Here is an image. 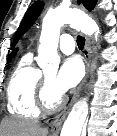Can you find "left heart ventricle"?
Wrapping results in <instances>:
<instances>
[{"instance_id":"1","label":"left heart ventricle","mask_w":117,"mask_h":136,"mask_svg":"<svg viewBox=\"0 0 117 136\" xmlns=\"http://www.w3.org/2000/svg\"><path fill=\"white\" fill-rule=\"evenodd\" d=\"M46 79H47V81L49 83V96H50V99H51V101H55L56 98L59 96L57 94V92L55 91L54 86H53L54 80H55V74L54 73L47 74Z\"/></svg>"}]
</instances>
